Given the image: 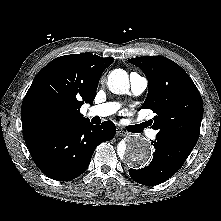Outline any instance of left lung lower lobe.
<instances>
[{
    "mask_svg": "<svg viewBox=\"0 0 221 221\" xmlns=\"http://www.w3.org/2000/svg\"><path fill=\"white\" fill-rule=\"evenodd\" d=\"M155 153L151 163L140 170L130 169L133 180L143 185H158L173 176L183 165L193 148L180 142L156 136L152 141Z\"/></svg>",
    "mask_w": 221,
    "mask_h": 221,
    "instance_id": "obj_1",
    "label": "left lung lower lobe"
}]
</instances>
